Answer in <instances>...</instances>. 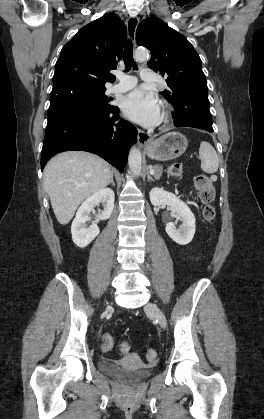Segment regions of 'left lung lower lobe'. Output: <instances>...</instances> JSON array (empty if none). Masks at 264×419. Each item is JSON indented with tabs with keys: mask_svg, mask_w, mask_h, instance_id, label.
Instances as JSON below:
<instances>
[{
	"mask_svg": "<svg viewBox=\"0 0 264 419\" xmlns=\"http://www.w3.org/2000/svg\"><path fill=\"white\" fill-rule=\"evenodd\" d=\"M173 116L176 127H192L213 132L207 95L186 99L182 106L175 109Z\"/></svg>",
	"mask_w": 264,
	"mask_h": 419,
	"instance_id": "1",
	"label": "left lung lower lobe"
}]
</instances>
